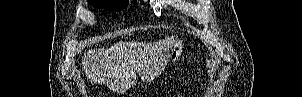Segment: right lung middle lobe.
<instances>
[{
	"instance_id": "right-lung-middle-lobe-1",
	"label": "right lung middle lobe",
	"mask_w": 302,
	"mask_h": 97,
	"mask_svg": "<svg viewBox=\"0 0 302 97\" xmlns=\"http://www.w3.org/2000/svg\"><path fill=\"white\" fill-rule=\"evenodd\" d=\"M88 3L96 8L105 10H120L128 5L127 0H88Z\"/></svg>"
}]
</instances>
